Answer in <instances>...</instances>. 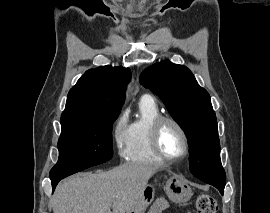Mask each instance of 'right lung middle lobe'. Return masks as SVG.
<instances>
[{"label": "right lung middle lobe", "instance_id": "dd1d6c3e", "mask_svg": "<svg viewBox=\"0 0 270 213\" xmlns=\"http://www.w3.org/2000/svg\"><path fill=\"white\" fill-rule=\"evenodd\" d=\"M119 113L60 119L59 159L50 178L73 174L112 158L111 130Z\"/></svg>", "mask_w": 270, "mask_h": 213}]
</instances>
